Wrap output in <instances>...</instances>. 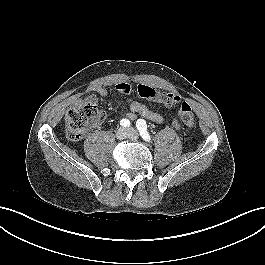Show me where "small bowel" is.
<instances>
[{
    "instance_id": "c3829d8e",
    "label": "small bowel",
    "mask_w": 265,
    "mask_h": 265,
    "mask_svg": "<svg viewBox=\"0 0 265 265\" xmlns=\"http://www.w3.org/2000/svg\"><path fill=\"white\" fill-rule=\"evenodd\" d=\"M116 89L119 93H121L123 95L128 96L130 94V86L127 83L118 84L116 86ZM165 93L167 94V93H172V92H165ZM97 95L100 97H106L108 95V91H107V89L101 87L97 90ZM97 95H90L89 97H87L86 101L92 102V103H97L98 102ZM157 102L163 104L165 107H167L170 110H174V108H175V103H166V102H162V101H157ZM128 103H129V112L127 114V117L129 119L135 120L136 117L139 115L142 118H144L150 122L156 123V124H160L163 122V116L161 114L150 110L143 103L136 101V100H133L131 98L128 99ZM173 125L176 129H180V123L176 118L173 119Z\"/></svg>"
}]
</instances>
